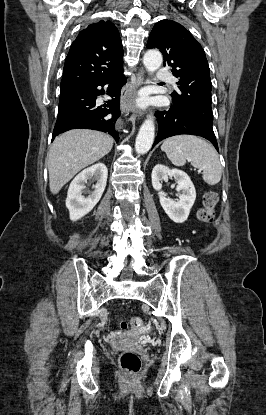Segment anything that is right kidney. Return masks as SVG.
<instances>
[{
	"instance_id": "1",
	"label": "right kidney",
	"mask_w": 266,
	"mask_h": 415,
	"mask_svg": "<svg viewBox=\"0 0 266 415\" xmlns=\"http://www.w3.org/2000/svg\"><path fill=\"white\" fill-rule=\"evenodd\" d=\"M107 176V167L103 163H97L84 169L73 179L66 199V207L72 221H77L87 215L98 203L105 190ZM90 179L97 181L93 185L94 191L92 192L85 190V183ZM83 193L89 195L85 197Z\"/></svg>"
}]
</instances>
